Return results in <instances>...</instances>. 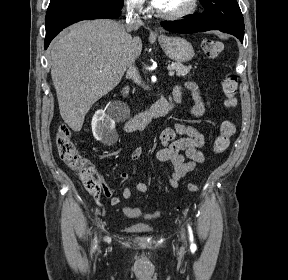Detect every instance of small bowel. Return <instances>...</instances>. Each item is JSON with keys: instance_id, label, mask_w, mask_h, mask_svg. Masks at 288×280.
<instances>
[{"instance_id": "c3829d8e", "label": "small bowel", "mask_w": 288, "mask_h": 280, "mask_svg": "<svg viewBox=\"0 0 288 280\" xmlns=\"http://www.w3.org/2000/svg\"><path fill=\"white\" fill-rule=\"evenodd\" d=\"M186 88L191 91L195 104L191 110L194 117L201 116L205 111V102L202 100L196 84L188 82ZM181 88L176 87L174 90V99L181 100ZM178 135H183L177 138ZM161 143L156 153V158L161 163L169 164L172 172L168 178V186L171 188L178 187L179 182L191 172H197L200 165L205 161V156L201 151L204 146V137L193 126L186 124H175L172 127L165 128L159 135ZM144 154L141 147H136L130 153L131 161L140 159ZM103 185V194L110 199L112 206H119L121 199L114 195L115 190L123 186L128 181V174L121 173L115 187L108 186L102 177H99ZM148 186L143 182L136 183L133 186H127L122 191V198L129 199L134 192L141 194L148 193ZM97 199L99 195L93 196Z\"/></svg>"}]
</instances>
